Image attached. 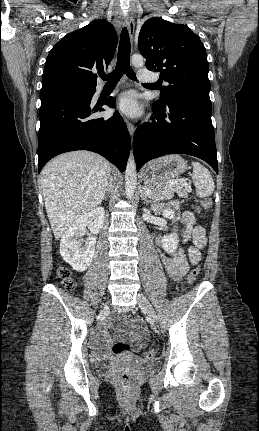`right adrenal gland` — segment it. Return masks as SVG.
Masks as SVG:
<instances>
[{"label":"right adrenal gland","mask_w":259,"mask_h":431,"mask_svg":"<svg viewBox=\"0 0 259 431\" xmlns=\"http://www.w3.org/2000/svg\"><path fill=\"white\" fill-rule=\"evenodd\" d=\"M111 186H112V184H111V181L109 182V185H108V187H107V189H106V193L104 194V196H103V199H105V197L107 196V194L110 192V190H111Z\"/></svg>","instance_id":"obj_1"}]
</instances>
